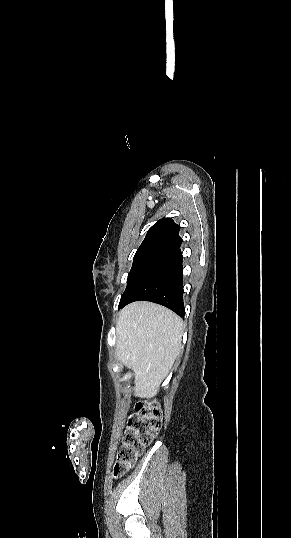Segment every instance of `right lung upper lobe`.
Instances as JSON below:
<instances>
[{
    "label": "right lung upper lobe",
    "instance_id": "cb5924a9",
    "mask_svg": "<svg viewBox=\"0 0 291 538\" xmlns=\"http://www.w3.org/2000/svg\"><path fill=\"white\" fill-rule=\"evenodd\" d=\"M179 226L171 218L158 220L147 232L145 239L137 251L163 248L176 250L181 246Z\"/></svg>",
    "mask_w": 291,
    "mask_h": 538
}]
</instances>
